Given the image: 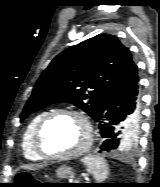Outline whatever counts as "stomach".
<instances>
[{
    "mask_svg": "<svg viewBox=\"0 0 160 187\" xmlns=\"http://www.w3.org/2000/svg\"><path fill=\"white\" fill-rule=\"evenodd\" d=\"M57 176L59 178H70L73 176V170L71 167L63 165L57 170Z\"/></svg>",
    "mask_w": 160,
    "mask_h": 187,
    "instance_id": "1",
    "label": "stomach"
}]
</instances>
